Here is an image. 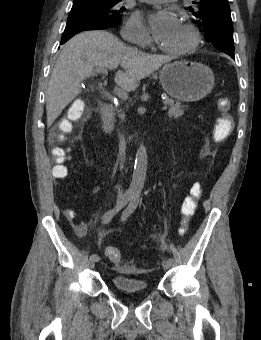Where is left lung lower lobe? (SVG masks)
Here are the masks:
<instances>
[{
	"label": "left lung lower lobe",
	"mask_w": 261,
	"mask_h": 340,
	"mask_svg": "<svg viewBox=\"0 0 261 340\" xmlns=\"http://www.w3.org/2000/svg\"><path fill=\"white\" fill-rule=\"evenodd\" d=\"M229 56H231L232 58H234V54H232V55H229Z\"/></svg>",
	"instance_id": "0a47b994"
}]
</instances>
